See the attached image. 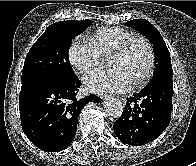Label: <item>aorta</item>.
Returning a JSON list of instances; mask_svg holds the SVG:
<instances>
[{
    "label": "aorta",
    "instance_id": "aorta-1",
    "mask_svg": "<svg viewBox=\"0 0 196 166\" xmlns=\"http://www.w3.org/2000/svg\"><path fill=\"white\" fill-rule=\"evenodd\" d=\"M104 107L107 113L113 118H119L123 113V105L116 98H108L104 102Z\"/></svg>",
    "mask_w": 196,
    "mask_h": 166
}]
</instances>
